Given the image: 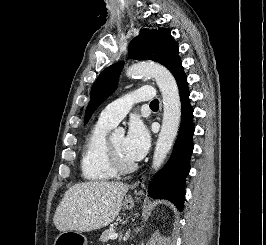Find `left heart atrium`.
Segmentation results:
<instances>
[{
  "instance_id": "left-heart-atrium-1",
  "label": "left heart atrium",
  "mask_w": 266,
  "mask_h": 245,
  "mask_svg": "<svg viewBox=\"0 0 266 245\" xmlns=\"http://www.w3.org/2000/svg\"><path fill=\"white\" fill-rule=\"evenodd\" d=\"M150 136L145 125L139 120L130 122L123 141V150L128 159L134 163L140 161L148 150Z\"/></svg>"
}]
</instances>
